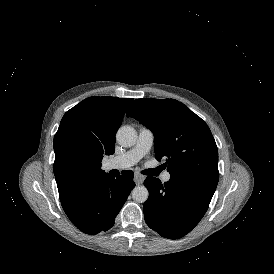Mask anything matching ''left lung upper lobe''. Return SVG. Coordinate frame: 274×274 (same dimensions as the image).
<instances>
[{"instance_id":"5c2ea615","label":"left lung upper lobe","mask_w":274,"mask_h":274,"mask_svg":"<svg viewBox=\"0 0 274 274\" xmlns=\"http://www.w3.org/2000/svg\"><path fill=\"white\" fill-rule=\"evenodd\" d=\"M154 134L156 159L172 177L217 185L218 150L207 124L174 99H136L127 111Z\"/></svg>"}]
</instances>
